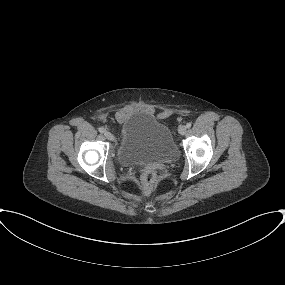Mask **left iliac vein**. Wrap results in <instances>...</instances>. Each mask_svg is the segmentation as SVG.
Instances as JSON below:
<instances>
[{
	"mask_svg": "<svg viewBox=\"0 0 285 285\" xmlns=\"http://www.w3.org/2000/svg\"><path fill=\"white\" fill-rule=\"evenodd\" d=\"M179 133L181 134V135H184L185 133H186V131H187V128H186V126H184V125H181L180 127H179Z\"/></svg>",
	"mask_w": 285,
	"mask_h": 285,
	"instance_id": "obj_1",
	"label": "left iliac vein"
}]
</instances>
